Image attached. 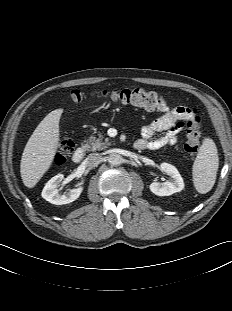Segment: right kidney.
Here are the masks:
<instances>
[{
  "instance_id": "obj_1",
  "label": "right kidney",
  "mask_w": 232,
  "mask_h": 311,
  "mask_svg": "<svg viewBox=\"0 0 232 311\" xmlns=\"http://www.w3.org/2000/svg\"><path fill=\"white\" fill-rule=\"evenodd\" d=\"M63 179V174H58L46 183L41 194L46 201L56 205H63L75 201L80 196L83 190L82 186L70 190L67 194H60L57 186Z\"/></svg>"
}]
</instances>
